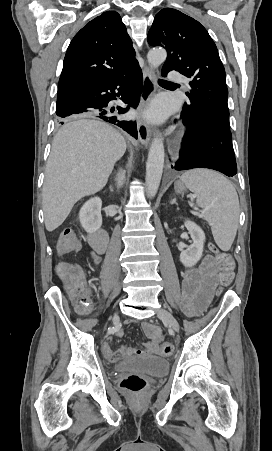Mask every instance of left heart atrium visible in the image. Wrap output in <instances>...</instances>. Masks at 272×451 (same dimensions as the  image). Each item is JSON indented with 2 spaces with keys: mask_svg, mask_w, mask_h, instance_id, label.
<instances>
[{
  "mask_svg": "<svg viewBox=\"0 0 272 451\" xmlns=\"http://www.w3.org/2000/svg\"><path fill=\"white\" fill-rule=\"evenodd\" d=\"M155 110H156L157 114H160V115H163V114L166 113L165 105L162 104V103L158 104V105L156 106V109H155Z\"/></svg>",
  "mask_w": 272,
  "mask_h": 451,
  "instance_id": "left-heart-atrium-1",
  "label": "left heart atrium"
}]
</instances>
